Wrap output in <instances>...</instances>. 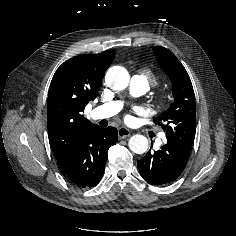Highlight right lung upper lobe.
<instances>
[{"label": "right lung upper lobe", "mask_w": 236, "mask_h": 236, "mask_svg": "<svg viewBox=\"0 0 236 236\" xmlns=\"http://www.w3.org/2000/svg\"><path fill=\"white\" fill-rule=\"evenodd\" d=\"M114 54V50H108L76 56L62 64L52 78L47 126L50 145L61 168L72 160L85 133L95 126L82 113L98 95Z\"/></svg>", "instance_id": "obj_1"}]
</instances>
